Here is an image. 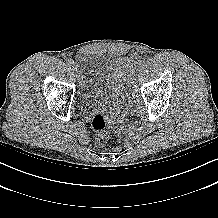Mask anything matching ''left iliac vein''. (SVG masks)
Listing matches in <instances>:
<instances>
[{
	"label": "left iliac vein",
	"instance_id": "left-iliac-vein-1",
	"mask_svg": "<svg viewBox=\"0 0 218 218\" xmlns=\"http://www.w3.org/2000/svg\"><path fill=\"white\" fill-rule=\"evenodd\" d=\"M142 70V64H137V67L134 68V71H131V77H136V73H139Z\"/></svg>",
	"mask_w": 218,
	"mask_h": 218
}]
</instances>
